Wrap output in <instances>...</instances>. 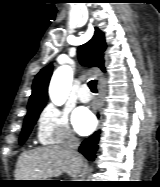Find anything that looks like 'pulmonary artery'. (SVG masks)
Wrapping results in <instances>:
<instances>
[{
	"mask_svg": "<svg viewBox=\"0 0 160 187\" xmlns=\"http://www.w3.org/2000/svg\"><path fill=\"white\" fill-rule=\"evenodd\" d=\"M86 90L87 87L85 85H82L77 92L78 99L83 103L89 102L91 98L90 94Z\"/></svg>",
	"mask_w": 160,
	"mask_h": 187,
	"instance_id": "obj_1",
	"label": "pulmonary artery"
}]
</instances>
